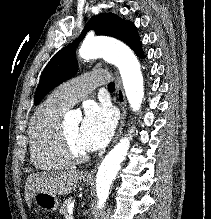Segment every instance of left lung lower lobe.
<instances>
[{
    "mask_svg": "<svg viewBox=\"0 0 211 219\" xmlns=\"http://www.w3.org/2000/svg\"><path fill=\"white\" fill-rule=\"evenodd\" d=\"M134 51H135V53H136L139 57H141V58L144 57V56H143L142 44H141V43H139V45L137 46V48H136Z\"/></svg>",
    "mask_w": 211,
    "mask_h": 219,
    "instance_id": "1",
    "label": "left lung lower lobe"
}]
</instances>
